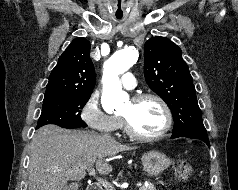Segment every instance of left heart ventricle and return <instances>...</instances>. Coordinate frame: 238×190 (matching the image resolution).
<instances>
[{
    "label": "left heart ventricle",
    "instance_id": "b2bd125f",
    "mask_svg": "<svg viewBox=\"0 0 238 190\" xmlns=\"http://www.w3.org/2000/svg\"><path fill=\"white\" fill-rule=\"evenodd\" d=\"M126 116L132 127L144 135L158 133L165 124V116L160 105L154 100L133 103L129 100L120 112Z\"/></svg>",
    "mask_w": 238,
    "mask_h": 190
}]
</instances>
